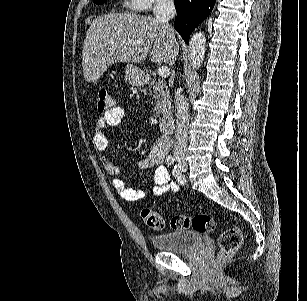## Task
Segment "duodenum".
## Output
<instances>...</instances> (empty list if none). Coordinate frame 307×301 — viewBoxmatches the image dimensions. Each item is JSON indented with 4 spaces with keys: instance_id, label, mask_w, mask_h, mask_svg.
Instances as JSON below:
<instances>
[{
    "instance_id": "1",
    "label": "duodenum",
    "mask_w": 307,
    "mask_h": 301,
    "mask_svg": "<svg viewBox=\"0 0 307 301\" xmlns=\"http://www.w3.org/2000/svg\"><path fill=\"white\" fill-rule=\"evenodd\" d=\"M159 127L164 133H172L176 127V120L173 115L165 114L159 120Z\"/></svg>"
}]
</instances>
